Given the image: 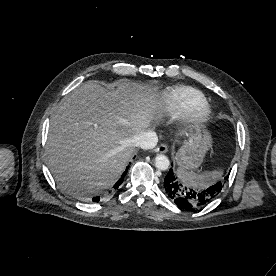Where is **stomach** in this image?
Masks as SVG:
<instances>
[{"label": "stomach", "mask_w": 276, "mask_h": 276, "mask_svg": "<svg viewBox=\"0 0 276 276\" xmlns=\"http://www.w3.org/2000/svg\"><path fill=\"white\" fill-rule=\"evenodd\" d=\"M212 138L206 130H195L188 135L175 154V160L180 169L198 168L203 162L206 152L211 148Z\"/></svg>", "instance_id": "0dacf381"}]
</instances>
